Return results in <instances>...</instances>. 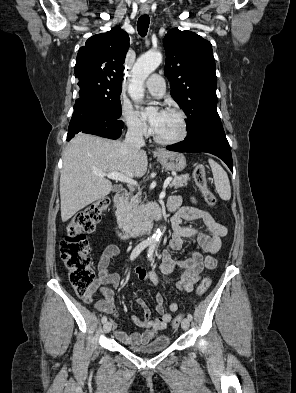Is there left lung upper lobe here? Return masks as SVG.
Segmentation results:
<instances>
[{"label": "left lung upper lobe", "instance_id": "left-lung-upper-lobe-1", "mask_svg": "<svg viewBox=\"0 0 296 393\" xmlns=\"http://www.w3.org/2000/svg\"><path fill=\"white\" fill-rule=\"evenodd\" d=\"M164 48V72L171 96L188 117L187 135L206 123L220 121L211 43L194 32L174 28L165 35Z\"/></svg>", "mask_w": 296, "mask_h": 393}]
</instances>
